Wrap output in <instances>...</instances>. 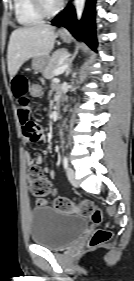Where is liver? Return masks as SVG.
Listing matches in <instances>:
<instances>
[{
  "mask_svg": "<svg viewBox=\"0 0 134 281\" xmlns=\"http://www.w3.org/2000/svg\"><path fill=\"white\" fill-rule=\"evenodd\" d=\"M55 27L37 23L12 32L7 51L8 72L12 79L30 58L48 57L54 47Z\"/></svg>",
  "mask_w": 134,
  "mask_h": 281,
  "instance_id": "1",
  "label": "liver"
}]
</instances>
